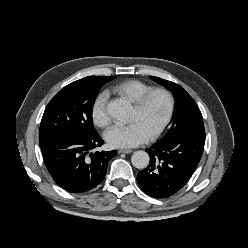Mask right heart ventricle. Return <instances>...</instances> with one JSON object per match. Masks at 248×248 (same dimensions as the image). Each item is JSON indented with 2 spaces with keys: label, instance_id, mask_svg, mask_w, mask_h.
Masks as SVG:
<instances>
[{
  "label": "right heart ventricle",
  "instance_id": "obj_1",
  "mask_svg": "<svg viewBox=\"0 0 248 248\" xmlns=\"http://www.w3.org/2000/svg\"><path fill=\"white\" fill-rule=\"evenodd\" d=\"M151 88L152 87L149 84L143 81L129 79L117 84L112 90L119 96L127 98L134 103Z\"/></svg>",
  "mask_w": 248,
  "mask_h": 248
}]
</instances>
